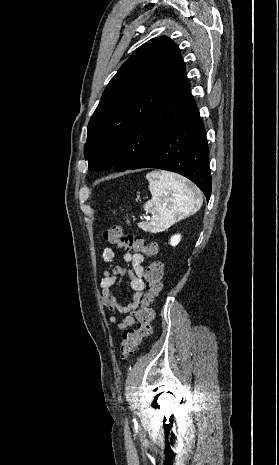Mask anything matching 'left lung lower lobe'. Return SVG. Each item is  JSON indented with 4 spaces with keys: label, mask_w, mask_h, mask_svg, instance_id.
<instances>
[{
    "label": "left lung lower lobe",
    "mask_w": 279,
    "mask_h": 465,
    "mask_svg": "<svg viewBox=\"0 0 279 465\" xmlns=\"http://www.w3.org/2000/svg\"><path fill=\"white\" fill-rule=\"evenodd\" d=\"M158 168L179 173L211 196L209 149L193 97L168 132L130 169Z\"/></svg>",
    "instance_id": "left-lung-lower-lobe-1"
}]
</instances>
